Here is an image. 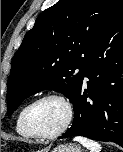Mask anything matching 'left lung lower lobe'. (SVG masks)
I'll return each mask as SVG.
<instances>
[{
  "label": "left lung lower lobe",
  "instance_id": "obj_1",
  "mask_svg": "<svg viewBox=\"0 0 123 152\" xmlns=\"http://www.w3.org/2000/svg\"><path fill=\"white\" fill-rule=\"evenodd\" d=\"M73 105V124L59 139L84 136L123 147V1L84 63Z\"/></svg>",
  "mask_w": 123,
  "mask_h": 152
}]
</instances>
